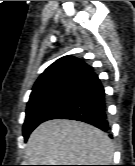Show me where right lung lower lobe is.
I'll list each match as a JSON object with an SVG mask.
<instances>
[{
    "instance_id": "obj_1",
    "label": "right lung lower lobe",
    "mask_w": 135,
    "mask_h": 166,
    "mask_svg": "<svg viewBox=\"0 0 135 166\" xmlns=\"http://www.w3.org/2000/svg\"><path fill=\"white\" fill-rule=\"evenodd\" d=\"M71 101L64 112L55 119H71L82 121L108 132L110 130L107 118L104 88L95 73L68 85Z\"/></svg>"
}]
</instances>
